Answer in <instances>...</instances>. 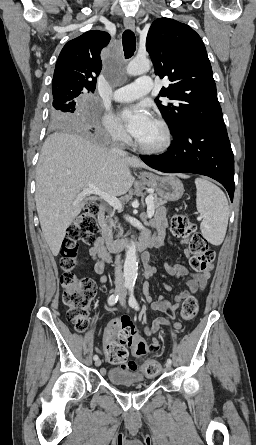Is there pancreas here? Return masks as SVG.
<instances>
[{"mask_svg":"<svg viewBox=\"0 0 256 445\" xmlns=\"http://www.w3.org/2000/svg\"><path fill=\"white\" fill-rule=\"evenodd\" d=\"M153 198V205L156 210V217H162L165 218L166 216V209L164 207V204L166 203L162 199L152 196ZM118 222V219L115 218V220L111 218H107L106 220H101L99 222L101 228H102V234L107 238H112V231L113 229L118 228L119 229V236H122L123 229L120 226V224L116 225Z\"/></svg>","mask_w":256,"mask_h":445,"instance_id":"cf45deb5","label":"pancreas"}]
</instances>
